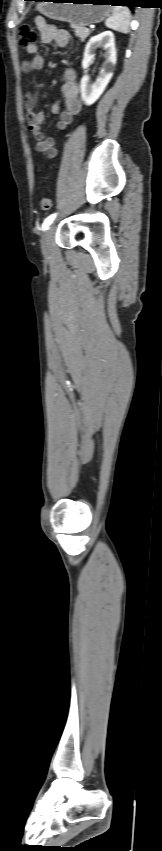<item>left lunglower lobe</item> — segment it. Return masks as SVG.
Here are the masks:
<instances>
[{
    "mask_svg": "<svg viewBox=\"0 0 162 851\" xmlns=\"http://www.w3.org/2000/svg\"><path fill=\"white\" fill-rule=\"evenodd\" d=\"M27 1H41V0H27ZM105 3H110L112 5H123V6L133 7V5L130 3V0H106Z\"/></svg>",
    "mask_w": 162,
    "mask_h": 851,
    "instance_id": "left-lung-lower-lobe-1",
    "label": "left lung lower lobe"
}]
</instances>
